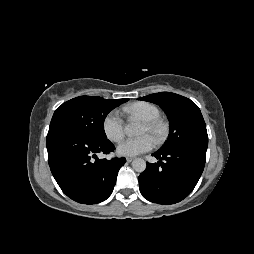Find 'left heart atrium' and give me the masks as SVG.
<instances>
[{
  "instance_id": "obj_1",
  "label": "left heart atrium",
  "mask_w": 254,
  "mask_h": 254,
  "mask_svg": "<svg viewBox=\"0 0 254 254\" xmlns=\"http://www.w3.org/2000/svg\"><path fill=\"white\" fill-rule=\"evenodd\" d=\"M154 139L149 135L128 138L124 140L117 148L120 155L137 156L151 150L154 147Z\"/></svg>"
}]
</instances>
